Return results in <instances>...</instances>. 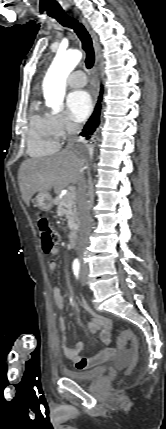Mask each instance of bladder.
Returning <instances> with one entry per match:
<instances>
[{"instance_id":"obj_1","label":"bladder","mask_w":166,"mask_h":429,"mask_svg":"<svg viewBox=\"0 0 166 429\" xmlns=\"http://www.w3.org/2000/svg\"><path fill=\"white\" fill-rule=\"evenodd\" d=\"M107 370V366H99L85 372L68 370L66 371V375L77 382L84 383L103 377L106 374Z\"/></svg>"}]
</instances>
